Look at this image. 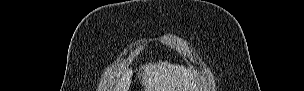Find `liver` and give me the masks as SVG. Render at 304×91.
I'll return each mask as SVG.
<instances>
[{
	"label": "liver",
	"instance_id": "6515ba94",
	"mask_svg": "<svg viewBox=\"0 0 304 91\" xmlns=\"http://www.w3.org/2000/svg\"><path fill=\"white\" fill-rule=\"evenodd\" d=\"M144 70V73H142ZM145 91H195L196 76L190 69L170 62L149 63L139 69ZM132 70L121 73L113 91H128Z\"/></svg>",
	"mask_w": 304,
	"mask_h": 91
}]
</instances>
